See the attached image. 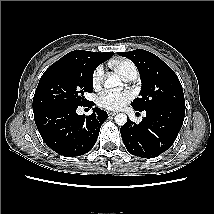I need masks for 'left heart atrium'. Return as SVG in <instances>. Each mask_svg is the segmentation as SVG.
<instances>
[{
    "instance_id": "39dd6f15",
    "label": "left heart atrium",
    "mask_w": 214,
    "mask_h": 214,
    "mask_svg": "<svg viewBox=\"0 0 214 214\" xmlns=\"http://www.w3.org/2000/svg\"><path fill=\"white\" fill-rule=\"evenodd\" d=\"M133 98L130 90L104 91L97 98V104L108 110H119Z\"/></svg>"
}]
</instances>
